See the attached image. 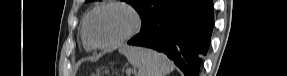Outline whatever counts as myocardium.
<instances>
[{"label":"myocardium","instance_id":"f54148a6","mask_svg":"<svg viewBox=\"0 0 287 76\" xmlns=\"http://www.w3.org/2000/svg\"><path fill=\"white\" fill-rule=\"evenodd\" d=\"M106 8H120V9L125 10L130 15L132 19V23L130 27L118 38H116L115 40L109 43L101 44V43L95 42L91 38L90 32H89V26H90V20L93 17V15H95L97 12L104 10ZM141 26H142L141 15L131 4L124 2V1H108L95 7L88 13L84 21L83 33H84L85 39L87 40V42L90 44L92 48L111 49V48L117 47L118 45L122 44L123 42L133 37L140 30Z\"/></svg>","mask_w":287,"mask_h":76}]
</instances>
